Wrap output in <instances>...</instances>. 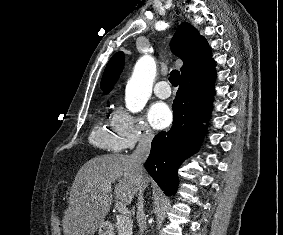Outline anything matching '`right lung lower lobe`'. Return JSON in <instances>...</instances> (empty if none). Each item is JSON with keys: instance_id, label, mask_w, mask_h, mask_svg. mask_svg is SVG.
I'll use <instances>...</instances> for the list:
<instances>
[{"instance_id": "right-lung-lower-lobe-1", "label": "right lung lower lobe", "mask_w": 283, "mask_h": 235, "mask_svg": "<svg viewBox=\"0 0 283 235\" xmlns=\"http://www.w3.org/2000/svg\"><path fill=\"white\" fill-rule=\"evenodd\" d=\"M214 70L191 80L180 81L173 102V125L158 133L151 144L145 168L167 195L178 188V168L196 153L202 142L214 94Z\"/></svg>"}]
</instances>
